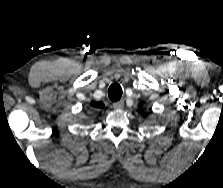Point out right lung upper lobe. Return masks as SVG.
Listing matches in <instances>:
<instances>
[{
    "label": "right lung upper lobe",
    "instance_id": "1",
    "mask_svg": "<svg viewBox=\"0 0 223 188\" xmlns=\"http://www.w3.org/2000/svg\"><path fill=\"white\" fill-rule=\"evenodd\" d=\"M91 105H92L94 108H102V107L104 106L103 103H101V102L97 103V102H94V101L91 103Z\"/></svg>",
    "mask_w": 223,
    "mask_h": 188
}]
</instances>
